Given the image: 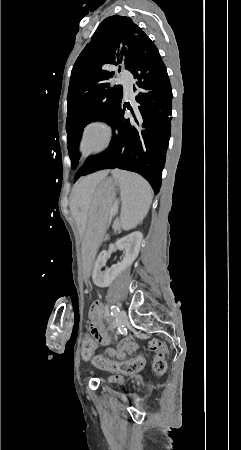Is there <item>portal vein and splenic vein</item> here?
Instances as JSON below:
<instances>
[{"label":"portal vein and splenic vein","instance_id":"18ae733b","mask_svg":"<svg viewBox=\"0 0 241 450\" xmlns=\"http://www.w3.org/2000/svg\"><path fill=\"white\" fill-rule=\"evenodd\" d=\"M118 202H113V204H111V209H110V212L111 213H117L118 212Z\"/></svg>","mask_w":241,"mask_h":450}]
</instances>
